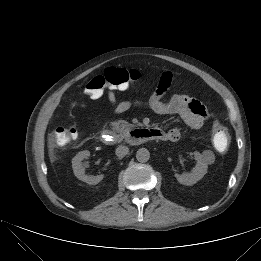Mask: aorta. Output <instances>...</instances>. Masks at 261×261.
<instances>
[{"instance_id": "obj_1", "label": "aorta", "mask_w": 261, "mask_h": 261, "mask_svg": "<svg viewBox=\"0 0 261 261\" xmlns=\"http://www.w3.org/2000/svg\"><path fill=\"white\" fill-rule=\"evenodd\" d=\"M150 158V152L148 151V149L146 148H140L137 150L136 152V159L139 161V162H147Z\"/></svg>"}]
</instances>
